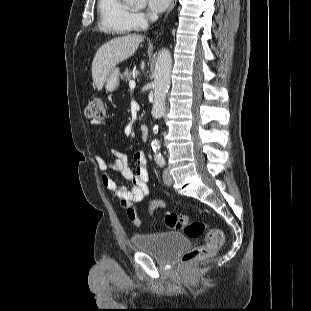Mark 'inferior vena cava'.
<instances>
[{
    "mask_svg": "<svg viewBox=\"0 0 311 311\" xmlns=\"http://www.w3.org/2000/svg\"><path fill=\"white\" fill-rule=\"evenodd\" d=\"M156 18H157L156 15H153V16L151 17L152 20H155Z\"/></svg>",
    "mask_w": 311,
    "mask_h": 311,
    "instance_id": "1",
    "label": "inferior vena cava"
}]
</instances>
